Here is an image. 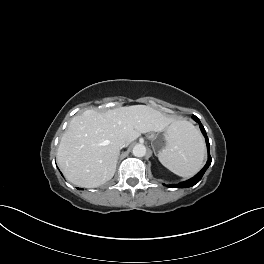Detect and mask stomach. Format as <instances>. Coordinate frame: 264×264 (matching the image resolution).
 <instances>
[{"instance_id":"stomach-1","label":"stomach","mask_w":264,"mask_h":264,"mask_svg":"<svg viewBox=\"0 0 264 264\" xmlns=\"http://www.w3.org/2000/svg\"><path fill=\"white\" fill-rule=\"evenodd\" d=\"M172 128H173V126L168 127L165 131V134L155 133V134H151L149 136V139L151 140V144L155 150L161 149V148L163 150L164 148H166L168 146L169 137H170V134L172 132Z\"/></svg>"}]
</instances>
